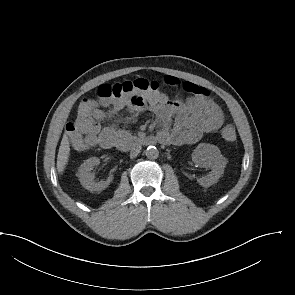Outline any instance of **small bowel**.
Returning <instances> with one entry per match:
<instances>
[{
	"mask_svg": "<svg viewBox=\"0 0 295 295\" xmlns=\"http://www.w3.org/2000/svg\"><path fill=\"white\" fill-rule=\"evenodd\" d=\"M164 81L189 95L170 100L157 89L112 100L105 104L110 106L108 110L97 105L88 117L77 118L67 124L66 133L73 148L83 151L94 146H115L126 132L114 125L102 128L101 122L115 117L123 109L132 114L145 110L153 113L160 127L157 135L166 137L168 143L174 145L193 144L204 134L214 132L223 125V113L205 89L190 82L181 83L173 76L166 77Z\"/></svg>",
	"mask_w": 295,
	"mask_h": 295,
	"instance_id": "c3829d8e",
	"label": "small bowel"
}]
</instances>
